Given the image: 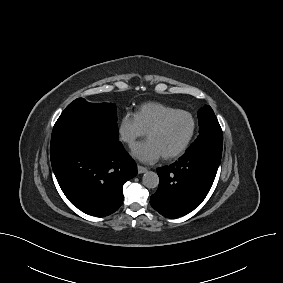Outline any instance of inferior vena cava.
Masks as SVG:
<instances>
[{
	"label": "inferior vena cava",
	"instance_id": "1",
	"mask_svg": "<svg viewBox=\"0 0 283 283\" xmlns=\"http://www.w3.org/2000/svg\"><path fill=\"white\" fill-rule=\"evenodd\" d=\"M124 141H129V138L128 137H123L122 138Z\"/></svg>",
	"mask_w": 283,
	"mask_h": 283
}]
</instances>
